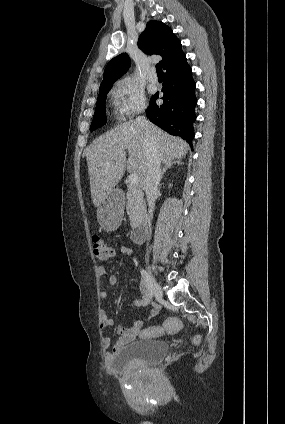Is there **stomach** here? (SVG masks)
<instances>
[{
    "label": "stomach",
    "instance_id": "1",
    "mask_svg": "<svg viewBox=\"0 0 285 424\" xmlns=\"http://www.w3.org/2000/svg\"><path fill=\"white\" fill-rule=\"evenodd\" d=\"M124 199L111 192L97 208V220L107 231L116 229L124 213Z\"/></svg>",
    "mask_w": 285,
    "mask_h": 424
}]
</instances>
